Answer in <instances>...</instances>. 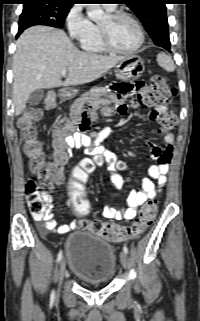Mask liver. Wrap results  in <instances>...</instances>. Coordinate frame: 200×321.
<instances>
[{"instance_id":"1","label":"liver","mask_w":200,"mask_h":321,"mask_svg":"<svg viewBox=\"0 0 200 321\" xmlns=\"http://www.w3.org/2000/svg\"><path fill=\"white\" fill-rule=\"evenodd\" d=\"M16 45L12 85L16 115L22 113L33 91L93 82L124 59L82 52L64 31L47 26L28 28ZM63 71L68 72L64 82L60 78Z\"/></svg>"}]
</instances>
